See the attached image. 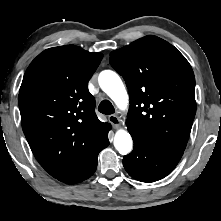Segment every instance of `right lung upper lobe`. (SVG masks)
Listing matches in <instances>:
<instances>
[{"label": "right lung upper lobe", "mask_w": 221, "mask_h": 221, "mask_svg": "<svg viewBox=\"0 0 221 221\" xmlns=\"http://www.w3.org/2000/svg\"><path fill=\"white\" fill-rule=\"evenodd\" d=\"M103 54L75 45L49 48L27 68L19 91L23 132L41 166L57 178L103 138L88 81Z\"/></svg>", "instance_id": "1"}]
</instances>
